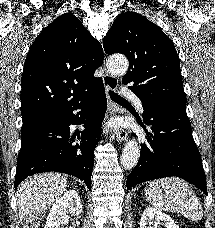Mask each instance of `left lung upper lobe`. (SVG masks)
Instances as JSON below:
<instances>
[{"mask_svg":"<svg viewBox=\"0 0 215 228\" xmlns=\"http://www.w3.org/2000/svg\"><path fill=\"white\" fill-rule=\"evenodd\" d=\"M107 54L129 60L123 83L142 103L186 104L180 63L172 41L154 23L135 12L120 14L103 39Z\"/></svg>","mask_w":215,"mask_h":228,"instance_id":"left-lung-upper-lobe-1","label":"left lung upper lobe"}]
</instances>
